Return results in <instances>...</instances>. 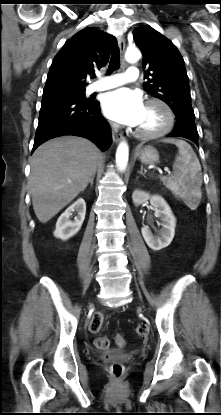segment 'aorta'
<instances>
[{
    "instance_id": "obj_1",
    "label": "aorta",
    "mask_w": 221,
    "mask_h": 415,
    "mask_svg": "<svg viewBox=\"0 0 221 415\" xmlns=\"http://www.w3.org/2000/svg\"><path fill=\"white\" fill-rule=\"evenodd\" d=\"M141 57V53L138 49H127L125 53V59L129 63H135ZM129 147L126 142H121L116 151V165L120 171H124L128 164Z\"/></svg>"
}]
</instances>
